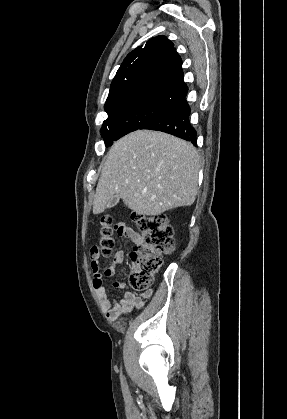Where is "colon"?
I'll use <instances>...</instances> for the list:
<instances>
[{"mask_svg":"<svg viewBox=\"0 0 287 419\" xmlns=\"http://www.w3.org/2000/svg\"><path fill=\"white\" fill-rule=\"evenodd\" d=\"M133 221L140 231V240L130 253V283L135 291L150 287L154 273L162 264V256L170 253L175 245L174 233L165 215L144 216L133 214ZM110 217H104L97 232L101 254L108 255L114 244V230Z\"/></svg>","mask_w":287,"mask_h":419,"instance_id":"obj_1","label":"colon"}]
</instances>
